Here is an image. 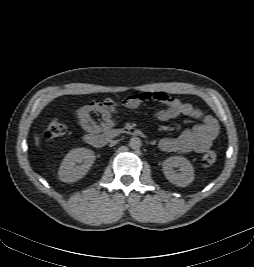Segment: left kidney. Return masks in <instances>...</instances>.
Wrapping results in <instances>:
<instances>
[{
  "mask_svg": "<svg viewBox=\"0 0 254 267\" xmlns=\"http://www.w3.org/2000/svg\"><path fill=\"white\" fill-rule=\"evenodd\" d=\"M162 167L166 179L176 186L186 187L194 180V168L185 157H169L163 162ZM175 167H179L180 172H176Z\"/></svg>",
  "mask_w": 254,
  "mask_h": 267,
  "instance_id": "5707ae66",
  "label": "left kidney"
}]
</instances>
